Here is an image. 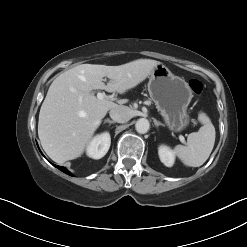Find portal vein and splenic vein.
<instances>
[{"mask_svg":"<svg viewBox=\"0 0 247 247\" xmlns=\"http://www.w3.org/2000/svg\"><path fill=\"white\" fill-rule=\"evenodd\" d=\"M106 97V95L104 93H97V98L100 99V100H104V98ZM180 141L182 143H185V138L183 136H180L179 137Z\"/></svg>","mask_w":247,"mask_h":247,"instance_id":"portal-vein-and-splenic-vein-1","label":"portal vein and splenic vein"}]
</instances>
